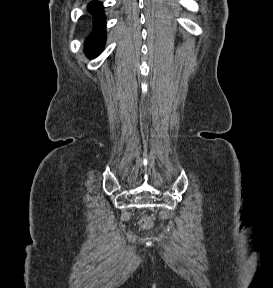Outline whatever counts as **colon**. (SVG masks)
<instances>
[{"mask_svg": "<svg viewBox=\"0 0 273 288\" xmlns=\"http://www.w3.org/2000/svg\"><path fill=\"white\" fill-rule=\"evenodd\" d=\"M140 223L143 227H150L152 225V219L149 216H142Z\"/></svg>", "mask_w": 273, "mask_h": 288, "instance_id": "1", "label": "colon"}]
</instances>
